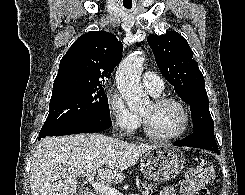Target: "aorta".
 Listing matches in <instances>:
<instances>
[{
	"label": "aorta",
	"instance_id": "obj_1",
	"mask_svg": "<svg viewBox=\"0 0 245 195\" xmlns=\"http://www.w3.org/2000/svg\"><path fill=\"white\" fill-rule=\"evenodd\" d=\"M144 61L143 53L135 51L123 59L116 72L118 90L131 111L140 110L149 103L140 85Z\"/></svg>",
	"mask_w": 245,
	"mask_h": 195
}]
</instances>
